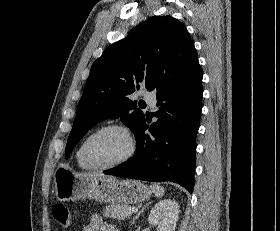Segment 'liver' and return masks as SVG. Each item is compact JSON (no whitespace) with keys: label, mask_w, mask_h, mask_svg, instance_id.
<instances>
[{"label":"liver","mask_w":280,"mask_h":231,"mask_svg":"<svg viewBox=\"0 0 280 231\" xmlns=\"http://www.w3.org/2000/svg\"><path fill=\"white\" fill-rule=\"evenodd\" d=\"M79 175H89V177H108V175H100V173H79Z\"/></svg>","instance_id":"liver-1"}]
</instances>
